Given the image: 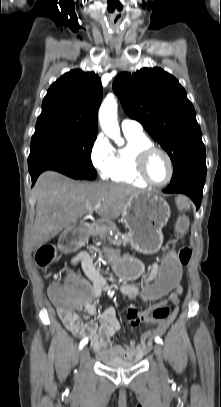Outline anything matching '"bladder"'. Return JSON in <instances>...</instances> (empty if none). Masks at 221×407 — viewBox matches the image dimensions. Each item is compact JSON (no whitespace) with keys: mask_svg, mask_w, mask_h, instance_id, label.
I'll use <instances>...</instances> for the list:
<instances>
[{"mask_svg":"<svg viewBox=\"0 0 221 407\" xmlns=\"http://www.w3.org/2000/svg\"><path fill=\"white\" fill-rule=\"evenodd\" d=\"M98 360L105 366L110 368H131L135 367L140 363L139 359H132V360H124V359H117V358H107L102 355H98Z\"/></svg>","mask_w":221,"mask_h":407,"instance_id":"bladder-1","label":"bladder"}]
</instances>
